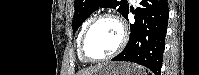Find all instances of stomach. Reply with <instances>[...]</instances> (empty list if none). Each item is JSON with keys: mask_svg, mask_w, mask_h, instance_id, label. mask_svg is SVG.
I'll use <instances>...</instances> for the list:
<instances>
[{"mask_svg": "<svg viewBox=\"0 0 199 75\" xmlns=\"http://www.w3.org/2000/svg\"><path fill=\"white\" fill-rule=\"evenodd\" d=\"M142 67L128 62H112L99 67L92 75H145Z\"/></svg>", "mask_w": 199, "mask_h": 75, "instance_id": "obj_1", "label": "stomach"}]
</instances>
